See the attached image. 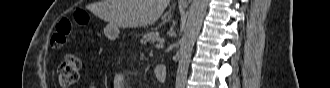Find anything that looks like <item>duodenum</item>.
Instances as JSON below:
<instances>
[{
    "mask_svg": "<svg viewBox=\"0 0 330 88\" xmlns=\"http://www.w3.org/2000/svg\"><path fill=\"white\" fill-rule=\"evenodd\" d=\"M159 69L161 70V73L158 75V80L164 81L166 78V68L165 66L159 65Z\"/></svg>",
    "mask_w": 330,
    "mask_h": 88,
    "instance_id": "duodenum-1",
    "label": "duodenum"
}]
</instances>
